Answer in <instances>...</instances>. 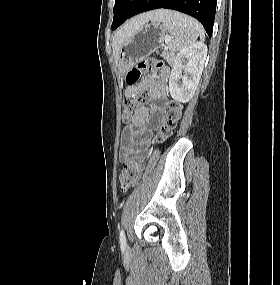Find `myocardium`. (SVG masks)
I'll list each match as a JSON object with an SVG mask.
<instances>
[{
  "label": "myocardium",
  "instance_id": "obj_1",
  "mask_svg": "<svg viewBox=\"0 0 280 285\" xmlns=\"http://www.w3.org/2000/svg\"><path fill=\"white\" fill-rule=\"evenodd\" d=\"M133 0H125V1H123L124 3H130V2H132Z\"/></svg>",
  "mask_w": 280,
  "mask_h": 285
}]
</instances>
